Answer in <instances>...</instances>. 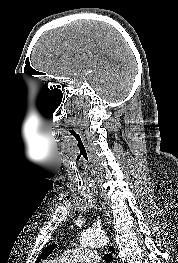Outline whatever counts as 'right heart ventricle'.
Listing matches in <instances>:
<instances>
[{"label": "right heart ventricle", "mask_w": 178, "mask_h": 263, "mask_svg": "<svg viewBox=\"0 0 178 263\" xmlns=\"http://www.w3.org/2000/svg\"><path fill=\"white\" fill-rule=\"evenodd\" d=\"M48 263H60V262L57 261L56 259H52V260H50Z\"/></svg>", "instance_id": "obj_1"}]
</instances>
